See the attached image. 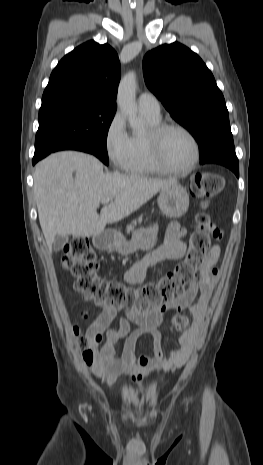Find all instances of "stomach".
<instances>
[{"instance_id":"1","label":"stomach","mask_w":263,"mask_h":465,"mask_svg":"<svg viewBox=\"0 0 263 465\" xmlns=\"http://www.w3.org/2000/svg\"><path fill=\"white\" fill-rule=\"evenodd\" d=\"M157 202L161 212L169 218H179L189 208L188 193L179 184L161 190ZM157 233V225L136 229L130 240L118 232H101L94 236L93 242L99 249L114 250L127 256L139 249L150 250L156 242Z\"/></svg>"}]
</instances>
